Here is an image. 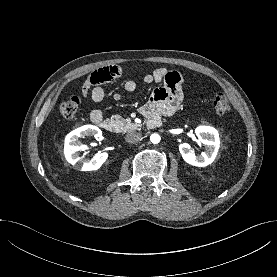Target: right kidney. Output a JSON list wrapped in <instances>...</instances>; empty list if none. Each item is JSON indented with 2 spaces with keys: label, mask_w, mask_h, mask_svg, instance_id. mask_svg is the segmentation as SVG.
I'll use <instances>...</instances> for the list:
<instances>
[{
  "label": "right kidney",
  "mask_w": 277,
  "mask_h": 277,
  "mask_svg": "<svg viewBox=\"0 0 277 277\" xmlns=\"http://www.w3.org/2000/svg\"><path fill=\"white\" fill-rule=\"evenodd\" d=\"M86 136H94L99 138L102 136L101 130L94 125H85L70 132L65 137L64 154L66 160L75 165L76 169L82 171H93L101 167L108 158V153L103 152L96 154L92 159L86 160L78 156L79 151L87 148L86 145L80 144L79 139Z\"/></svg>",
  "instance_id": "right-kidney-1"
}]
</instances>
